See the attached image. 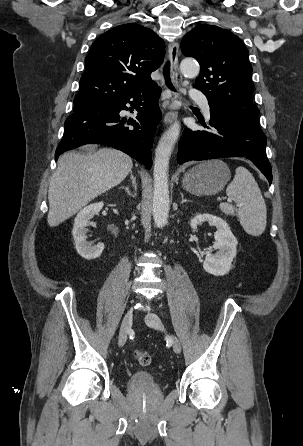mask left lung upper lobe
I'll use <instances>...</instances> for the list:
<instances>
[{
    "label": "left lung upper lobe",
    "instance_id": "obj_1",
    "mask_svg": "<svg viewBox=\"0 0 303 446\" xmlns=\"http://www.w3.org/2000/svg\"><path fill=\"white\" fill-rule=\"evenodd\" d=\"M181 50L201 65L195 87L231 116L261 130L252 101V67L242 40L217 26L199 25L184 36Z\"/></svg>",
    "mask_w": 303,
    "mask_h": 446
}]
</instances>
